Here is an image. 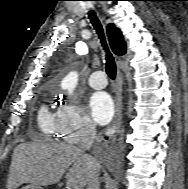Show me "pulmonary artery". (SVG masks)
<instances>
[{
  "instance_id": "pulmonary-artery-1",
  "label": "pulmonary artery",
  "mask_w": 188,
  "mask_h": 189,
  "mask_svg": "<svg viewBox=\"0 0 188 189\" xmlns=\"http://www.w3.org/2000/svg\"><path fill=\"white\" fill-rule=\"evenodd\" d=\"M89 85L94 89H102L107 85L105 73L103 71H95L88 78Z\"/></svg>"
}]
</instances>
